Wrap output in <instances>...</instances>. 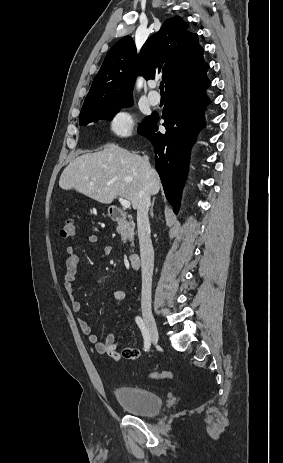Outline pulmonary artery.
<instances>
[{"label":"pulmonary artery","mask_w":283,"mask_h":463,"mask_svg":"<svg viewBox=\"0 0 283 463\" xmlns=\"http://www.w3.org/2000/svg\"><path fill=\"white\" fill-rule=\"evenodd\" d=\"M150 87L152 90L148 93L147 99L152 106H156L160 103V95L155 91L157 84L153 83Z\"/></svg>","instance_id":"pulmonary-artery-1"}]
</instances>
